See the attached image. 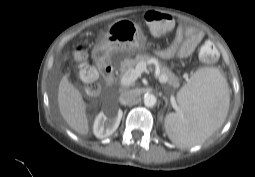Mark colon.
Here are the masks:
<instances>
[{
    "mask_svg": "<svg viewBox=\"0 0 255 177\" xmlns=\"http://www.w3.org/2000/svg\"><path fill=\"white\" fill-rule=\"evenodd\" d=\"M145 22L151 33L155 36L165 34L174 24L171 15L157 11H148L145 14ZM199 57L205 62H214L218 58V50L214 43L205 41L199 49ZM73 61L82 80L88 83H93L96 80L97 71L93 66L88 64L87 55L82 49L74 52ZM91 91H93L92 86Z\"/></svg>",
    "mask_w": 255,
    "mask_h": 177,
    "instance_id": "1",
    "label": "colon"
}]
</instances>
